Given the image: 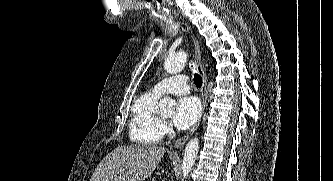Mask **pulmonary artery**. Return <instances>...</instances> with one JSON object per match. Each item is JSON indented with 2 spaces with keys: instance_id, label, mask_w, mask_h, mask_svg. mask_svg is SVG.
<instances>
[{
  "instance_id": "e3ab8cb5",
  "label": "pulmonary artery",
  "mask_w": 333,
  "mask_h": 181,
  "mask_svg": "<svg viewBox=\"0 0 333 181\" xmlns=\"http://www.w3.org/2000/svg\"><path fill=\"white\" fill-rule=\"evenodd\" d=\"M153 91L162 95L164 93H171L174 95H184L189 92L187 85V77L185 75H177L159 82Z\"/></svg>"
}]
</instances>
